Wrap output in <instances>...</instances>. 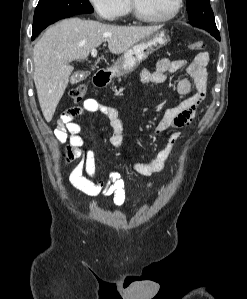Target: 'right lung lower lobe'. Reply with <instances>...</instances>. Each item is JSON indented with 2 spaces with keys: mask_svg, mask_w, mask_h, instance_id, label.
<instances>
[{
  "mask_svg": "<svg viewBox=\"0 0 247 299\" xmlns=\"http://www.w3.org/2000/svg\"><path fill=\"white\" fill-rule=\"evenodd\" d=\"M69 17H71V16H69ZM38 35H39V34H37V35H32V40H34Z\"/></svg>",
  "mask_w": 247,
  "mask_h": 299,
  "instance_id": "obj_1",
  "label": "right lung lower lobe"
}]
</instances>
